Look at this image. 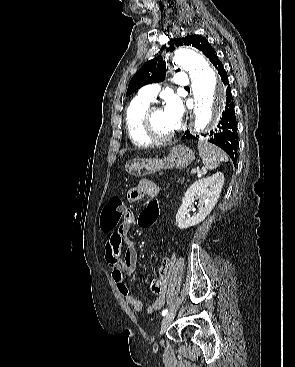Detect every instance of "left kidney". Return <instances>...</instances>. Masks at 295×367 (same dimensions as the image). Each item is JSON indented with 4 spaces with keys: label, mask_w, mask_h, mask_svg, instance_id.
<instances>
[{
    "label": "left kidney",
    "mask_w": 295,
    "mask_h": 367,
    "mask_svg": "<svg viewBox=\"0 0 295 367\" xmlns=\"http://www.w3.org/2000/svg\"><path fill=\"white\" fill-rule=\"evenodd\" d=\"M224 184V175L217 172L210 177L199 179L186 191L182 205L176 214V224L180 229H186L202 222L216 205ZM198 196L199 212L194 216L189 215L188 207Z\"/></svg>",
    "instance_id": "5707ae66"
}]
</instances>
